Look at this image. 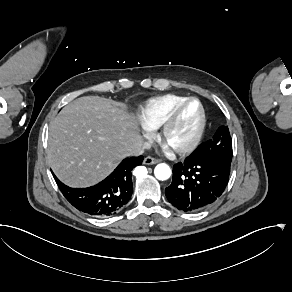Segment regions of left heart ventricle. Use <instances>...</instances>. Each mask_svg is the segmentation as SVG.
Instances as JSON below:
<instances>
[{"label": "left heart ventricle", "instance_id": "left-heart-ventricle-1", "mask_svg": "<svg viewBox=\"0 0 292 292\" xmlns=\"http://www.w3.org/2000/svg\"><path fill=\"white\" fill-rule=\"evenodd\" d=\"M198 111V105L191 103L181 112L168 134L171 143L180 145L189 139L197 122Z\"/></svg>", "mask_w": 292, "mask_h": 292}]
</instances>
